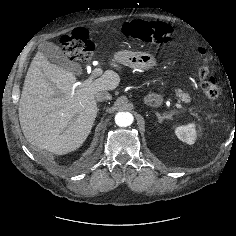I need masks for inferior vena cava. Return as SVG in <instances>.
I'll list each match as a JSON object with an SVG mask.
<instances>
[{"label": "inferior vena cava", "mask_w": 236, "mask_h": 236, "mask_svg": "<svg viewBox=\"0 0 236 236\" xmlns=\"http://www.w3.org/2000/svg\"><path fill=\"white\" fill-rule=\"evenodd\" d=\"M95 97L98 102L110 100L112 98L111 95L107 91H100L96 94Z\"/></svg>", "instance_id": "obj_1"}]
</instances>
